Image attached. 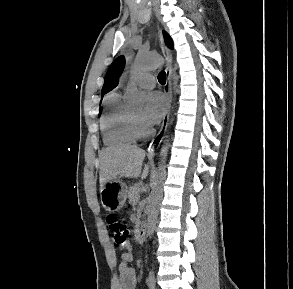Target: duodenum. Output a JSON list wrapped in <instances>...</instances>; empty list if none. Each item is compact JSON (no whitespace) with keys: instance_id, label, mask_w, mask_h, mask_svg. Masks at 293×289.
Wrapping results in <instances>:
<instances>
[{"instance_id":"duodenum-1","label":"duodenum","mask_w":293,"mask_h":289,"mask_svg":"<svg viewBox=\"0 0 293 289\" xmlns=\"http://www.w3.org/2000/svg\"><path fill=\"white\" fill-rule=\"evenodd\" d=\"M146 235H147L146 224L142 223L138 229L137 239L139 241H144L146 239Z\"/></svg>"}]
</instances>
